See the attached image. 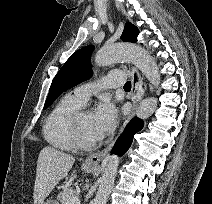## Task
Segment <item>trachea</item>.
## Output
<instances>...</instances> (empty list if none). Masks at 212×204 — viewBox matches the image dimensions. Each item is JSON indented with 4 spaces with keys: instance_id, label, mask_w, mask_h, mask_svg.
<instances>
[{
    "instance_id": "trachea-1",
    "label": "trachea",
    "mask_w": 212,
    "mask_h": 204,
    "mask_svg": "<svg viewBox=\"0 0 212 204\" xmlns=\"http://www.w3.org/2000/svg\"><path fill=\"white\" fill-rule=\"evenodd\" d=\"M124 89L125 90H130L131 89V82L130 81H128V82L125 83Z\"/></svg>"
}]
</instances>
